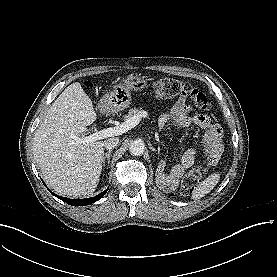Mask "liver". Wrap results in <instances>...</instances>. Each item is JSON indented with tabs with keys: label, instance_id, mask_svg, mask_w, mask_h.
I'll return each mask as SVG.
<instances>
[{
	"label": "liver",
	"instance_id": "6515ba94",
	"mask_svg": "<svg viewBox=\"0 0 277 277\" xmlns=\"http://www.w3.org/2000/svg\"><path fill=\"white\" fill-rule=\"evenodd\" d=\"M102 105L106 107L105 103ZM96 120L91 99L79 82L53 102L33 138V155L48 186L60 195L81 197L94 192L102 172L104 142L80 143Z\"/></svg>",
	"mask_w": 277,
	"mask_h": 277
}]
</instances>
